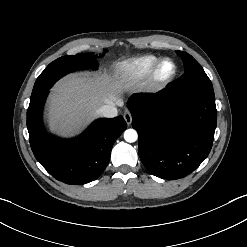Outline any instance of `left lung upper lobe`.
Here are the masks:
<instances>
[{
    "label": "left lung upper lobe",
    "instance_id": "1",
    "mask_svg": "<svg viewBox=\"0 0 247 247\" xmlns=\"http://www.w3.org/2000/svg\"><path fill=\"white\" fill-rule=\"evenodd\" d=\"M182 58L184 74L173 83L175 89H213L212 83L201 65L188 53L176 51Z\"/></svg>",
    "mask_w": 247,
    "mask_h": 247
}]
</instances>
